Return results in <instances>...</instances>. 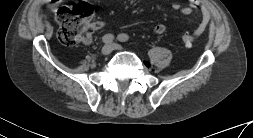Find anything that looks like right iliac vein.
<instances>
[{
    "instance_id": "right-iliac-vein-1",
    "label": "right iliac vein",
    "mask_w": 253,
    "mask_h": 138,
    "mask_svg": "<svg viewBox=\"0 0 253 138\" xmlns=\"http://www.w3.org/2000/svg\"><path fill=\"white\" fill-rule=\"evenodd\" d=\"M113 51V45L112 44H106L101 49V53L104 56H108Z\"/></svg>"
}]
</instances>
